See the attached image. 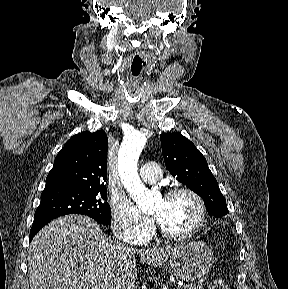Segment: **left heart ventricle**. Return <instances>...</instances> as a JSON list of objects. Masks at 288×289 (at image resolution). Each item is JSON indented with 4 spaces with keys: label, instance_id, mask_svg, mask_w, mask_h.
Wrapping results in <instances>:
<instances>
[{
    "label": "left heart ventricle",
    "instance_id": "1",
    "mask_svg": "<svg viewBox=\"0 0 288 289\" xmlns=\"http://www.w3.org/2000/svg\"><path fill=\"white\" fill-rule=\"evenodd\" d=\"M151 215L175 233L189 231L197 223L199 210L196 202L187 195H181L169 200L159 198Z\"/></svg>",
    "mask_w": 288,
    "mask_h": 289
}]
</instances>
